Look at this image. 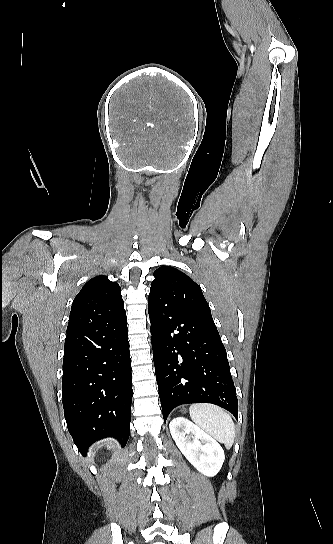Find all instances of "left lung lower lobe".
Segmentation results:
<instances>
[{"mask_svg":"<svg viewBox=\"0 0 333 544\" xmlns=\"http://www.w3.org/2000/svg\"><path fill=\"white\" fill-rule=\"evenodd\" d=\"M153 357L164 421L177 406L212 403L238 419L225 347L213 319L149 302Z\"/></svg>","mask_w":333,"mask_h":544,"instance_id":"obj_1","label":"left lung lower lobe"}]
</instances>
